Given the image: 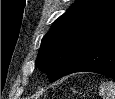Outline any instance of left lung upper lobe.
Masks as SVG:
<instances>
[{"instance_id": "obj_1", "label": "left lung upper lobe", "mask_w": 115, "mask_h": 99, "mask_svg": "<svg viewBox=\"0 0 115 99\" xmlns=\"http://www.w3.org/2000/svg\"><path fill=\"white\" fill-rule=\"evenodd\" d=\"M114 27L115 0H77L43 37L36 65L53 82Z\"/></svg>"}]
</instances>
